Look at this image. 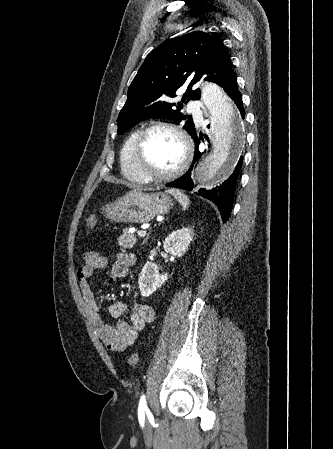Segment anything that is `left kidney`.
Segmentation results:
<instances>
[{
    "instance_id": "obj_1",
    "label": "left kidney",
    "mask_w": 333,
    "mask_h": 449,
    "mask_svg": "<svg viewBox=\"0 0 333 449\" xmlns=\"http://www.w3.org/2000/svg\"><path fill=\"white\" fill-rule=\"evenodd\" d=\"M191 228H182L171 233L164 241V250L174 256L182 257L193 239ZM168 280L167 273L160 274L158 266L147 262L139 274V289L142 296H149Z\"/></svg>"
}]
</instances>
